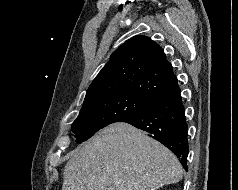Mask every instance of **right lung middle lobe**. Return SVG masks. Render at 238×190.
Returning <instances> with one entry per match:
<instances>
[{"instance_id":"dd1d6c3e","label":"right lung middle lobe","mask_w":238,"mask_h":190,"mask_svg":"<svg viewBox=\"0 0 238 190\" xmlns=\"http://www.w3.org/2000/svg\"><path fill=\"white\" fill-rule=\"evenodd\" d=\"M153 102L133 95H112L84 102L79 116L72 124L77 143L90 138L101 128L115 122H122Z\"/></svg>"}]
</instances>
